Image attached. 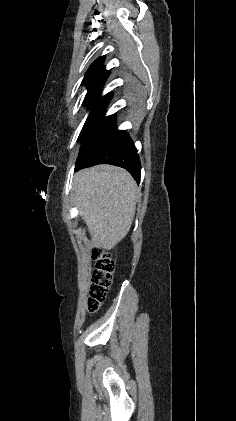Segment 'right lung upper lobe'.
<instances>
[{"instance_id":"1","label":"right lung upper lobe","mask_w":236,"mask_h":421,"mask_svg":"<svg viewBox=\"0 0 236 421\" xmlns=\"http://www.w3.org/2000/svg\"><path fill=\"white\" fill-rule=\"evenodd\" d=\"M104 59V56L97 58L86 72L82 84L87 86L88 91L100 89L104 86L109 76V71L102 66Z\"/></svg>"}]
</instances>
